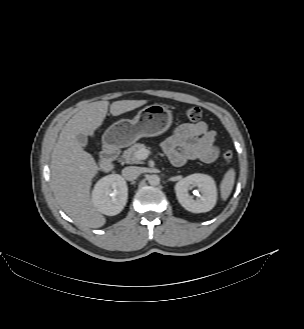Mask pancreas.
<instances>
[{
	"label": "pancreas",
	"mask_w": 304,
	"mask_h": 329,
	"mask_svg": "<svg viewBox=\"0 0 304 329\" xmlns=\"http://www.w3.org/2000/svg\"><path fill=\"white\" fill-rule=\"evenodd\" d=\"M141 148H146L144 144L136 143L123 152L122 158L128 164H138L140 160L136 158V152Z\"/></svg>",
	"instance_id": "obj_1"
}]
</instances>
